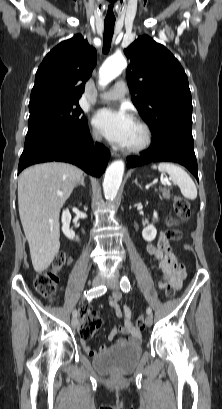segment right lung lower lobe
I'll return each mask as SVG.
<instances>
[{
	"label": "right lung lower lobe",
	"mask_w": 222,
	"mask_h": 409,
	"mask_svg": "<svg viewBox=\"0 0 222 409\" xmlns=\"http://www.w3.org/2000/svg\"><path fill=\"white\" fill-rule=\"evenodd\" d=\"M109 157L110 152L105 146L99 143L93 146L87 129L80 140L72 145L40 141L24 148L19 160L18 173L35 163L63 161L75 164L87 173L100 177L105 171Z\"/></svg>",
	"instance_id": "obj_1"
}]
</instances>
